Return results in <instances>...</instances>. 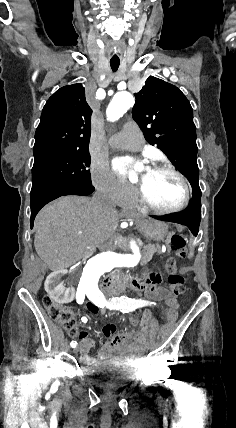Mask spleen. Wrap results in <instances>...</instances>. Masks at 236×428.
<instances>
[{
  "label": "spleen",
  "mask_w": 236,
  "mask_h": 428,
  "mask_svg": "<svg viewBox=\"0 0 236 428\" xmlns=\"http://www.w3.org/2000/svg\"><path fill=\"white\" fill-rule=\"evenodd\" d=\"M192 256H193V252H191V254H189V258H192Z\"/></svg>",
  "instance_id": "1"
}]
</instances>
